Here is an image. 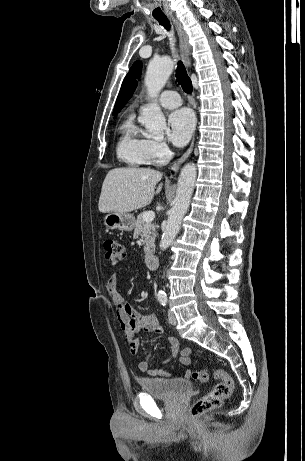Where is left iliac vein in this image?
<instances>
[{
	"instance_id": "4c4485c4",
	"label": "left iliac vein",
	"mask_w": 305,
	"mask_h": 461,
	"mask_svg": "<svg viewBox=\"0 0 305 461\" xmlns=\"http://www.w3.org/2000/svg\"><path fill=\"white\" fill-rule=\"evenodd\" d=\"M168 317H169V323L171 325H176L177 324V320H176V317H175V314L173 313V311H171V310L168 311Z\"/></svg>"
}]
</instances>
